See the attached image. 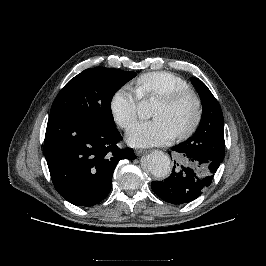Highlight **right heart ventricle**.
I'll list each match as a JSON object with an SVG mask.
<instances>
[{
    "instance_id": "right-heart-ventricle-1",
    "label": "right heart ventricle",
    "mask_w": 266,
    "mask_h": 266,
    "mask_svg": "<svg viewBox=\"0 0 266 266\" xmlns=\"http://www.w3.org/2000/svg\"><path fill=\"white\" fill-rule=\"evenodd\" d=\"M134 87L142 99H159L175 91L188 90L189 84L174 73L154 71L140 75L134 81Z\"/></svg>"
}]
</instances>
